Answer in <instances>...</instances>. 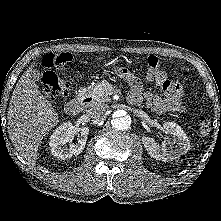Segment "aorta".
Masks as SVG:
<instances>
[{
	"label": "aorta",
	"mask_w": 221,
	"mask_h": 221,
	"mask_svg": "<svg viewBox=\"0 0 221 221\" xmlns=\"http://www.w3.org/2000/svg\"><path fill=\"white\" fill-rule=\"evenodd\" d=\"M111 125L114 129L125 131L131 126V117L124 110H118L114 113Z\"/></svg>",
	"instance_id": "762f6f07"
}]
</instances>
